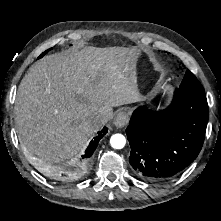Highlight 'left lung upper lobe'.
<instances>
[{
    "instance_id": "5c2ea615",
    "label": "left lung upper lobe",
    "mask_w": 221,
    "mask_h": 221,
    "mask_svg": "<svg viewBox=\"0 0 221 221\" xmlns=\"http://www.w3.org/2000/svg\"><path fill=\"white\" fill-rule=\"evenodd\" d=\"M178 89L193 95L205 96V92L201 83L198 81L195 75L189 70L186 71V74Z\"/></svg>"
}]
</instances>
